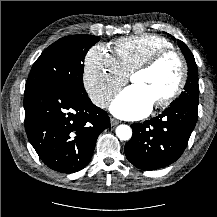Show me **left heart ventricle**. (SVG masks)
Wrapping results in <instances>:
<instances>
[{"mask_svg":"<svg viewBox=\"0 0 217 217\" xmlns=\"http://www.w3.org/2000/svg\"><path fill=\"white\" fill-rule=\"evenodd\" d=\"M178 75L177 61L174 58H169L153 71L133 75L131 82L132 85L140 87L155 103L173 91Z\"/></svg>","mask_w":217,"mask_h":217,"instance_id":"1","label":"left heart ventricle"}]
</instances>
